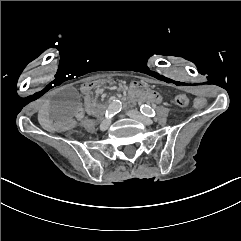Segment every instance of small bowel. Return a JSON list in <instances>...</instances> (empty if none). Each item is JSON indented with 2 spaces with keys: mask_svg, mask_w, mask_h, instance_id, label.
<instances>
[{
  "mask_svg": "<svg viewBox=\"0 0 241 241\" xmlns=\"http://www.w3.org/2000/svg\"><path fill=\"white\" fill-rule=\"evenodd\" d=\"M96 83L84 84L81 88L85 96V104L90 113L95 114L97 112V104L92 96L95 89ZM127 91L130 94L141 93L143 97L148 100H158L161 101L163 96L158 94L157 91L149 86V84L144 82H136L128 84ZM39 117L41 122L45 127L55 128L56 130H67L69 128V123L67 121H56L51 119L48 113V104L46 102H41L39 104Z\"/></svg>",
  "mask_w": 241,
  "mask_h": 241,
  "instance_id": "small-bowel-1",
  "label": "small bowel"
}]
</instances>
